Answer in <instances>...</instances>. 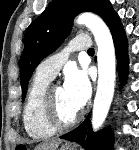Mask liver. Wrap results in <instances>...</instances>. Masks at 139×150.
I'll return each instance as SVG.
<instances>
[{
	"instance_id": "obj_1",
	"label": "liver",
	"mask_w": 139,
	"mask_h": 150,
	"mask_svg": "<svg viewBox=\"0 0 139 150\" xmlns=\"http://www.w3.org/2000/svg\"><path fill=\"white\" fill-rule=\"evenodd\" d=\"M60 142V140L46 141L37 145L34 150H57Z\"/></svg>"
}]
</instances>
